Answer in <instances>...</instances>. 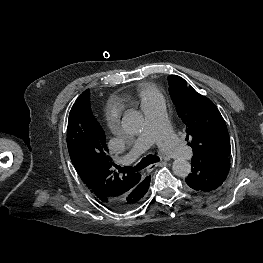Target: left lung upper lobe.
Segmentation results:
<instances>
[{
	"instance_id": "obj_1",
	"label": "left lung upper lobe",
	"mask_w": 263,
	"mask_h": 263,
	"mask_svg": "<svg viewBox=\"0 0 263 263\" xmlns=\"http://www.w3.org/2000/svg\"><path fill=\"white\" fill-rule=\"evenodd\" d=\"M168 82L172 102L186 126V140L191 139L189 145L193 148V158L229 157L231 148L227 126L214 103L179 76H169Z\"/></svg>"
}]
</instances>
